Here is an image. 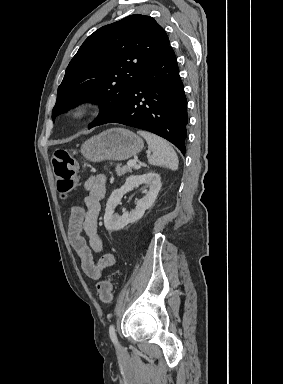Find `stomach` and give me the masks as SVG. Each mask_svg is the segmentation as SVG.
<instances>
[{
  "instance_id": "stomach-1",
  "label": "stomach",
  "mask_w": 283,
  "mask_h": 384,
  "mask_svg": "<svg viewBox=\"0 0 283 384\" xmlns=\"http://www.w3.org/2000/svg\"><path fill=\"white\" fill-rule=\"evenodd\" d=\"M143 150V140L124 128H111L92 136L81 146V154L90 162L129 160Z\"/></svg>"
}]
</instances>
